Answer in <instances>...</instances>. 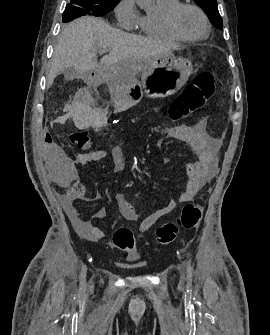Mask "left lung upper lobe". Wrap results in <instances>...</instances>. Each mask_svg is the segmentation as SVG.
I'll list each match as a JSON object with an SVG mask.
<instances>
[{
  "label": "left lung upper lobe",
  "instance_id": "left-lung-upper-lobe-1",
  "mask_svg": "<svg viewBox=\"0 0 270 335\" xmlns=\"http://www.w3.org/2000/svg\"><path fill=\"white\" fill-rule=\"evenodd\" d=\"M207 14L210 22L218 29H223L222 18L217 7V0H194Z\"/></svg>",
  "mask_w": 270,
  "mask_h": 335
}]
</instances>
